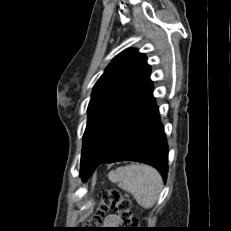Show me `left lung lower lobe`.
Returning a JSON list of instances; mask_svg holds the SVG:
<instances>
[{
  "label": "left lung lower lobe",
  "mask_w": 231,
  "mask_h": 231,
  "mask_svg": "<svg viewBox=\"0 0 231 231\" xmlns=\"http://www.w3.org/2000/svg\"><path fill=\"white\" fill-rule=\"evenodd\" d=\"M152 91L148 78L112 119L81 165L82 178L87 179L102 163L138 161L155 167L166 179L168 147Z\"/></svg>",
  "instance_id": "0a47b994"
}]
</instances>
